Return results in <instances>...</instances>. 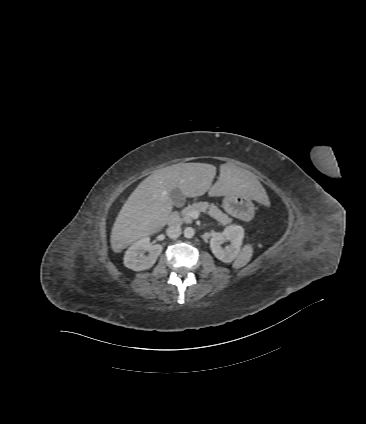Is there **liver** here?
Listing matches in <instances>:
<instances>
[{"label":"liver","instance_id":"6515ba94","mask_svg":"<svg viewBox=\"0 0 366 424\" xmlns=\"http://www.w3.org/2000/svg\"><path fill=\"white\" fill-rule=\"evenodd\" d=\"M216 167L206 163H178L156 170L128 197L112 227L111 248L120 253L139 239L159 232L167 224L173 207L170 193L178 188L194 198L208 192L211 197L238 195L261 200L264 188L255 175L226 163L214 185Z\"/></svg>","mask_w":366,"mask_h":424}]
</instances>
